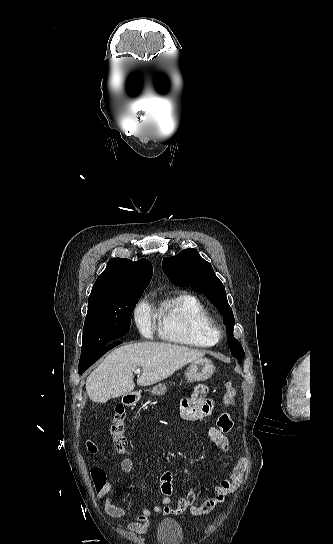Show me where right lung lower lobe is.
I'll return each mask as SVG.
<instances>
[{
    "label": "right lung lower lobe",
    "mask_w": 333,
    "mask_h": 544,
    "mask_svg": "<svg viewBox=\"0 0 333 544\" xmlns=\"http://www.w3.org/2000/svg\"><path fill=\"white\" fill-rule=\"evenodd\" d=\"M120 343H121V342L115 343V344L112 346V348L115 347L116 345L120 344ZM112 348H111V349H112ZM103 355H104V354H103ZM103 355H101V356H99V357H97V358L91 360L89 363H87V364L84 365L83 367H80V368H79V374H82L88 367H90L96 360H98L99 358H101Z\"/></svg>",
    "instance_id": "98d812e1"
}]
</instances>
